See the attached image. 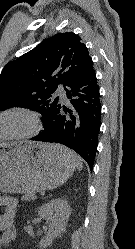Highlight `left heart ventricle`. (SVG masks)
I'll use <instances>...</instances> for the list:
<instances>
[{
    "label": "left heart ventricle",
    "instance_id": "obj_1",
    "mask_svg": "<svg viewBox=\"0 0 135 249\" xmlns=\"http://www.w3.org/2000/svg\"><path fill=\"white\" fill-rule=\"evenodd\" d=\"M28 128V120L21 115H7L0 118V137L24 132Z\"/></svg>",
    "mask_w": 135,
    "mask_h": 249
}]
</instances>
